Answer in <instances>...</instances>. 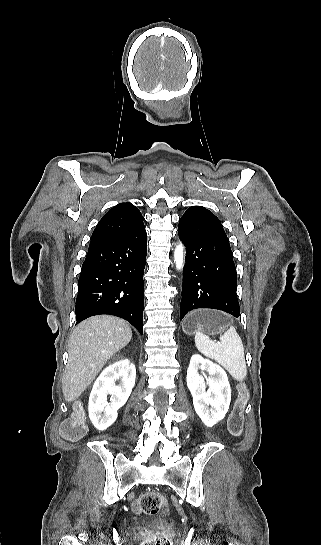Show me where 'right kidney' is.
<instances>
[{"label":"right kidney","instance_id":"ca27d5eb","mask_svg":"<svg viewBox=\"0 0 321 545\" xmlns=\"http://www.w3.org/2000/svg\"><path fill=\"white\" fill-rule=\"evenodd\" d=\"M136 369L128 359L117 361L102 371L89 397V419L98 431L115 423L118 409L125 405L135 385ZM120 381V385H116ZM107 395H111L107 403Z\"/></svg>","mask_w":321,"mask_h":545}]
</instances>
